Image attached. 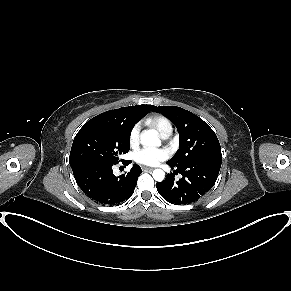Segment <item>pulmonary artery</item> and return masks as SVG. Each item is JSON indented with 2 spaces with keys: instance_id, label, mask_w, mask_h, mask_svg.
I'll return each instance as SVG.
<instances>
[{
  "instance_id": "1",
  "label": "pulmonary artery",
  "mask_w": 291,
  "mask_h": 291,
  "mask_svg": "<svg viewBox=\"0 0 291 291\" xmlns=\"http://www.w3.org/2000/svg\"><path fill=\"white\" fill-rule=\"evenodd\" d=\"M172 134V130L169 129V130H166L163 134H161L162 138L163 139H168Z\"/></svg>"
}]
</instances>
